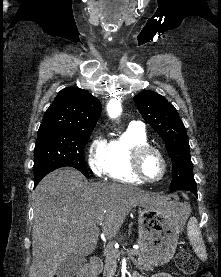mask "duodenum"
<instances>
[{
  "instance_id": "1",
  "label": "duodenum",
  "mask_w": 221,
  "mask_h": 277,
  "mask_svg": "<svg viewBox=\"0 0 221 277\" xmlns=\"http://www.w3.org/2000/svg\"><path fill=\"white\" fill-rule=\"evenodd\" d=\"M103 267L102 259L99 256L92 257L90 264L83 269L79 277H97Z\"/></svg>"
}]
</instances>
